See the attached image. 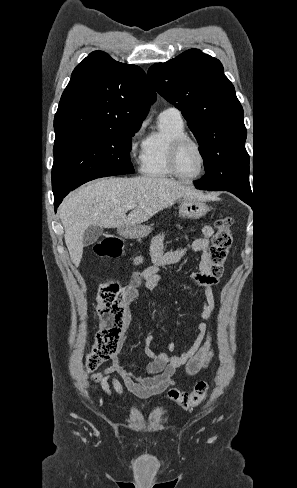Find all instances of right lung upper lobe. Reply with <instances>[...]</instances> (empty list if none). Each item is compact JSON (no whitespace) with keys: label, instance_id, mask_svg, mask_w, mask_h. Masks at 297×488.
Masks as SVG:
<instances>
[{"label":"right lung upper lobe","instance_id":"obj_1","mask_svg":"<svg viewBox=\"0 0 297 488\" xmlns=\"http://www.w3.org/2000/svg\"><path fill=\"white\" fill-rule=\"evenodd\" d=\"M155 99L140 67L94 51L74 69L61 96L54 118L55 134L141 126Z\"/></svg>","mask_w":297,"mask_h":488}]
</instances>
